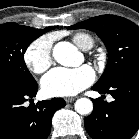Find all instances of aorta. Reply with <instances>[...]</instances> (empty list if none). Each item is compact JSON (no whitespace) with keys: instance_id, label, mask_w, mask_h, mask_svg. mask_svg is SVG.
I'll return each mask as SVG.
<instances>
[{"instance_id":"762f6f07","label":"aorta","mask_w":139,"mask_h":139,"mask_svg":"<svg viewBox=\"0 0 139 139\" xmlns=\"http://www.w3.org/2000/svg\"><path fill=\"white\" fill-rule=\"evenodd\" d=\"M78 54L77 48L69 42H59L53 49L55 60L63 66H76ZM75 110L81 115L90 114L93 110V103L88 98H80L75 102Z\"/></svg>"}]
</instances>
